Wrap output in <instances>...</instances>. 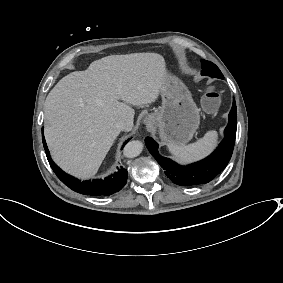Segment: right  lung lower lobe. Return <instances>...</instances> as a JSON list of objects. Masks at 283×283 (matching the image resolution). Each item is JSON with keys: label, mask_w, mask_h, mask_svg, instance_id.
Segmentation results:
<instances>
[{"label": "right lung lower lobe", "mask_w": 283, "mask_h": 283, "mask_svg": "<svg viewBox=\"0 0 283 283\" xmlns=\"http://www.w3.org/2000/svg\"><path fill=\"white\" fill-rule=\"evenodd\" d=\"M43 145L47 155L49 164L57 177L70 189L75 192L91 195V196H108L121 190L127 182L128 172L126 169L121 168L113 175L105 179H97L92 181H80L62 171L51 159L49 150L47 148L44 135L42 134ZM124 142L123 146L129 141Z\"/></svg>", "instance_id": "98d812e1"}]
</instances>
